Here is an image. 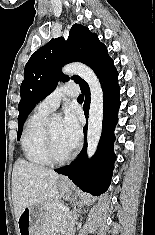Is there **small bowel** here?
Wrapping results in <instances>:
<instances>
[{
  "label": "small bowel",
  "instance_id": "c3829d8e",
  "mask_svg": "<svg viewBox=\"0 0 155 235\" xmlns=\"http://www.w3.org/2000/svg\"><path fill=\"white\" fill-rule=\"evenodd\" d=\"M49 228L45 231V232H42L41 235H49Z\"/></svg>",
  "mask_w": 155,
  "mask_h": 235
}]
</instances>
